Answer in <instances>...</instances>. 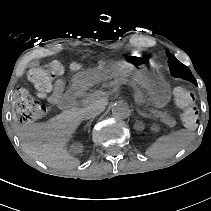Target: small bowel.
I'll list each match as a JSON object with an SVG mask.
<instances>
[{
	"mask_svg": "<svg viewBox=\"0 0 211 211\" xmlns=\"http://www.w3.org/2000/svg\"><path fill=\"white\" fill-rule=\"evenodd\" d=\"M63 91H64V82L62 80H57L54 83L50 95L47 96V100L50 103L57 104L59 99L62 97Z\"/></svg>",
	"mask_w": 211,
	"mask_h": 211,
	"instance_id": "obj_1",
	"label": "small bowel"
}]
</instances>
